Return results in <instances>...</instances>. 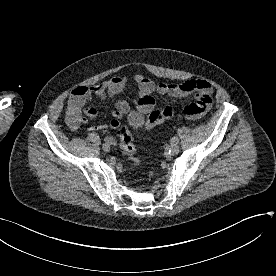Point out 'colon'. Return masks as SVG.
<instances>
[{
	"mask_svg": "<svg viewBox=\"0 0 276 276\" xmlns=\"http://www.w3.org/2000/svg\"><path fill=\"white\" fill-rule=\"evenodd\" d=\"M197 110H194L193 108H190L188 112L193 113ZM184 115V113H182ZM157 116L155 114H149L146 122L149 126H154ZM180 118V117H179ZM120 148L125 156H127L130 161L138 165L141 163L140 158L136 155V148L134 145V139L133 136L129 130L128 127L122 126L119 128L117 132Z\"/></svg>",
	"mask_w": 276,
	"mask_h": 276,
	"instance_id": "obj_1",
	"label": "colon"
}]
</instances>
